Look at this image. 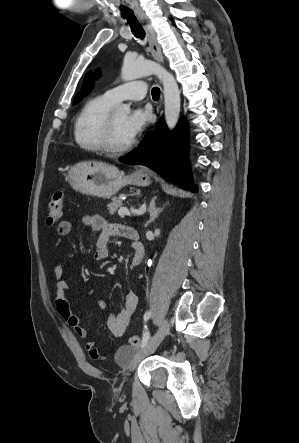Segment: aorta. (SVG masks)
I'll return each instance as SVG.
<instances>
[{"label":"aorta","instance_id":"obj_1","mask_svg":"<svg viewBox=\"0 0 299 443\" xmlns=\"http://www.w3.org/2000/svg\"><path fill=\"white\" fill-rule=\"evenodd\" d=\"M156 75L163 85L165 100V121L170 130L177 125L180 115V91L174 76L161 65L150 60H138L126 55L121 69V77L124 81ZM131 112L130 106L119 105L115 113L118 116H128Z\"/></svg>","mask_w":299,"mask_h":443}]
</instances>
